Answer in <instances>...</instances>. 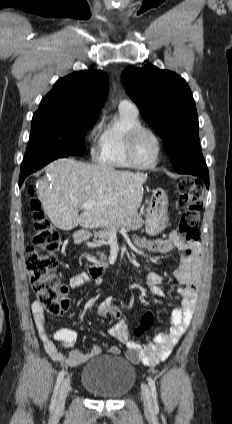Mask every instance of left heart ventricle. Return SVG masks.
Here are the masks:
<instances>
[{"label": "left heart ventricle", "mask_w": 232, "mask_h": 424, "mask_svg": "<svg viewBox=\"0 0 232 424\" xmlns=\"http://www.w3.org/2000/svg\"><path fill=\"white\" fill-rule=\"evenodd\" d=\"M157 153V143L152 135L149 133L141 134L136 140L134 146V157L141 165L151 164Z\"/></svg>", "instance_id": "1"}]
</instances>
